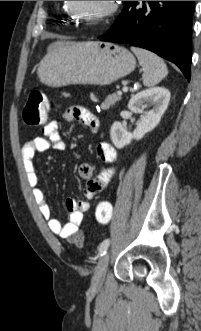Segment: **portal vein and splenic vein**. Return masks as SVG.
Returning a JSON list of instances; mask_svg holds the SVG:
<instances>
[{
  "instance_id": "portal-vein-and-splenic-vein-1",
  "label": "portal vein and splenic vein",
  "mask_w": 201,
  "mask_h": 331,
  "mask_svg": "<svg viewBox=\"0 0 201 331\" xmlns=\"http://www.w3.org/2000/svg\"><path fill=\"white\" fill-rule=\"evenodd\" d=\"M122 91H123V92H127V91H128V87L124 86V87L122 88ZM118 94L120 95L121 92L119 91Z\"/></svg>"
}]
</instances>
